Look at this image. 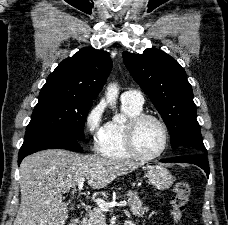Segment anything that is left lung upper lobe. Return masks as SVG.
Masks as SVG:
<instances>
[{
    "instance_id": "obj_1",
    "label": "left lung upper lobe",
    "mask_w": 228,
    "mask_h": 225,
    "mask_svg": "<svg viewBox=\"0 0 228 225\" xmlns=\"http://www.w3.org/2000/svg\"><path fill=\"white\" fill-rule=\"evenodd\" d=\"M123 60L166 123L172 148L184 146L187 154L205 155L192 87L181 65L156 48L143 54L123 52Z\"/></svg>"
}]
</instances>
